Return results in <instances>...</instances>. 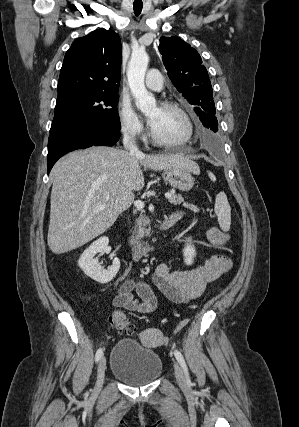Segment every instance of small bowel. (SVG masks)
<instances>
[{"label":"small bowel","instance_id":"c3829d8e","mask_svg":"<svg viewBox=\"0 0 299 427\" xmlns=\"http://www.w3.org/2000/svg\"><path fill=\"white\" fill-rule=\"evenodd\" d=\"M180 212L171 216L178 220ZM209 242L219 251L202 265L190 270L178 271L171 269L167 264H159L151 274L150 283L155 285L169 301L185 303L199 297L207 284L225 273L231 266V261L222 252L225 250L229 235L217 227L207 232ZM148 281L136 282L126 280L114 298L113 305L139 313H150L158 309L159 302L153 295ZM137 290L141 300L133 297L132 291Z\"/></svg>","mask_w":299,"mask_h":427}]
</instances>
